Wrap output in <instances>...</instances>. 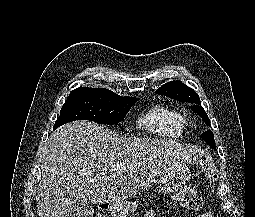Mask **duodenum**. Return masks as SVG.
<instances>
[{
  "label": "duodenum",
  "mask_w": 255,
  "mask_h": 217,
  "mask_svg": "<svg viewBox=\"0 0 255 217\" xmlns=\"http://www.w3.org/2000/svg\"><path fill=\"white\" fill-rule=\"evenodd\" d=\"M102 208H104V210H106V207H103V206H102Z\"/></svg>",
  "instance_id": "obj_1"
}]
</instances>
